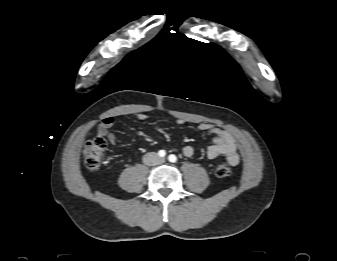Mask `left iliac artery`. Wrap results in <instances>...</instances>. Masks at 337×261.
Masks as SVG:
<instances>
[{
	"instance_id": "obj_1",
	"label": "left iliac artery",
	"mask_w": 337,
	"mask_h": 261,
	"mask_svg": "<svg viewBox=\"0 0 337 261\" xmlns=\"http://www.w3.org/2000/svg\"><path fill=\"white\" fill-rule=\"evenodd\" d=\"M168 160L172 163H175L177 161V157L173 154L169 155Z\"/></svg>"
}]
</instances>
